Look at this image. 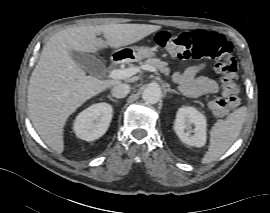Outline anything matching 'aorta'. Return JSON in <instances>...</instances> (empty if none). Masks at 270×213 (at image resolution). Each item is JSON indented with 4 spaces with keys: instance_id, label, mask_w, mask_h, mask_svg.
Here are the masks:
<instances>
[{
    "instance_id": "1",
    "label": "aorta",
    "mask_w": 270,
    "mask_h": 213,
    "mask_svg": "<svg viewBox=\"0 0 270 213\" xmlns=\"http://www.w3.org/2000/svg\"><path fill=\"white\" fill-rule=\"evenodd\" d=\"M162 95L161 88L158 84H151L148 85L143 93H142V99L149 104H156Z\"/></svg>"
}]
</instances>
